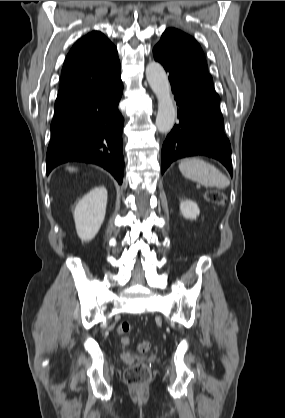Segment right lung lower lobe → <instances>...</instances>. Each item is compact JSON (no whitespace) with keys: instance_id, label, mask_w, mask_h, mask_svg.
<instances>
[{"instance_id":"obj_1","label":"right lung lower lobe","mask_w":285,"mask_h":418,"mask_svg":"<svg viewBox=\"0 0 285 418\" xmlns=\"http://www.w3.org/2000/svg\"><path fill=\"white\" fill-rule=\"evenodd\" d=\"M122 92L119 74L94 91L55 108L46 155L47 174L62 163L78 161L103 167L122 184L124 118L118 110Z\"/></svg>"}]
</instances>
